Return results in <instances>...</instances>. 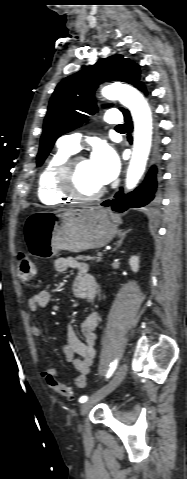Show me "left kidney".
Here are the masks:
<instances>
[{
    "label": "left kidney",
    "instance_id": "left-kidney-1",
    "mask_svg": "<svg viewBox=\"0 0 187 479\" xmlns=\"http://www.w3.org/2000/svg\"><path fill=\"white\" fill-rule=\"evenodd\" d=\"M139 257L138 256H132L130 259H129V265H130V268L131 270L136 273L138 272L139 270Z\"/></svg>",
    "mask_w": 187,
    "mask_h": 479
}]
</instances>
